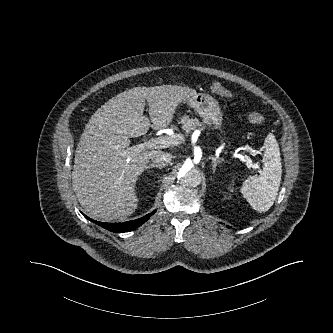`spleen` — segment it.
Returning <instances> with one entry per match:
<instances>
[{"mask_svg": "<svg viewBox=\"0 0 333 333\" xmlns=\"http://www.w3.org/2000/svg\"><path fill=\"white\" fill-rule=\"evenodd\" d=\"M263 171L259 176L248 177L241 186V192L257 212H266L273 205L279 191L282 164L280 149L273 134L264 143Z\"/></svg>", "mask_w": 333, "mask_h": 333, "instance_id": "3e777b00", "label": "spleen"}]
</instances>
